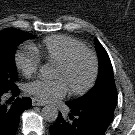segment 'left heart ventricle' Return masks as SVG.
<instances>
[{
	"label": "left heart ventricle",
	"mask_w": 135,
	"mask_h": 135,
	"mask_svg": "<svg viewBox=\"0 0 135 135\" xmlns=\"http://www.w3.org/2000/svg\"><path fill=\"white\" fill-rule=\"evenodd\" d=\"M91 71L90 59L82 56L67 71L56 66L53 78L63 80L68 88L80 89L88 82Z\"/></svg>",
	"instance_id": "1"
}]
</instances>
